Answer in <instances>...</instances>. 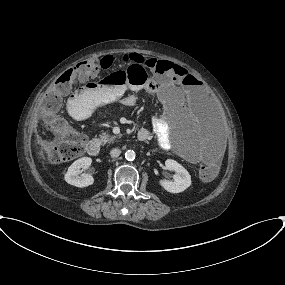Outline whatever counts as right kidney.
I'll list each match as a JSON object with an SVG mask.
<instances>
[{"label":"right kidney","mask_w":285,"mask_h":285,"mask_svg":"<svg viewBox=\"0 0 285 285\" xmlns=\"http://www.w3.org/2000/svg\"><path fill=\"white\" fill-rule=\"evenodd\" d=\"M92 163V159L90 157H82L76 161H74L70 167L68 168L65 174V181L68 184L74 185L76 187H87L94 183V178L90 174L82 173L81 168H88Z\"/></svg>","instance_id":"1"}]
</instances>
